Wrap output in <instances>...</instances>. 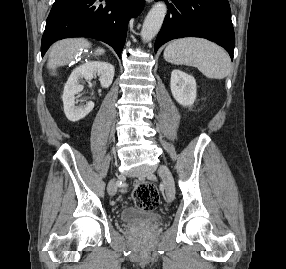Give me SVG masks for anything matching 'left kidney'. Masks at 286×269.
I'll list each match as a JSON object with an SVG mask.
<instances>
[{"instance_id": "obj_1", "label": "left kidney", "mask_w": 286, "mask_h": 269, "mask_svg": "<svg viewBox=\"0 0 286 269\" xmlns=\"http://www.w3.org/2000/svg\"><path fill=\"white\" fill-rule=\"evenodd\" d=\"M170 88L174 99L182 106L193 105L196 99V81L194 77L180 70L171 73Z\"/></svg>"}]
</instances>
